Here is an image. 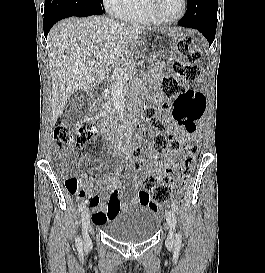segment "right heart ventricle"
<instances>
[{
	"mask_svg": "<svg viewBox=\"0 0 265 273\" xmlns=\"http://www.w3.org/2000/svg\"><path fill=\"white\" fill-rule=\"evenodd\" d=\"M118 17L144 25H159L149 12L147 0H128Z\"/></svg>",
	"mask_w": 265,
	"mask_h": 273,
	"instance_id": "right-heart-ventricle-1",
	"label": "right heart ventricle"
}]
</instances>
